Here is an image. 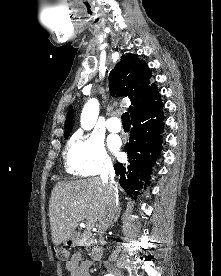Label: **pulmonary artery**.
<instances>
[{"mask_svg": "<svg viewBox=\"0 0 221 276\" xmlns=\"http://www.w3.org/2000/svg\"><path fill=\"white\" fill-rule=\"evenodd\" d=\"M107 129L111 132H119L121 130V123L117 117H111L106 122Z\"/></svg>", "mask_w": 221, "mask_h": 276, "instance_id": "pulmonary-artery-1", "label": "pulmonary artery"}]
</instances>
